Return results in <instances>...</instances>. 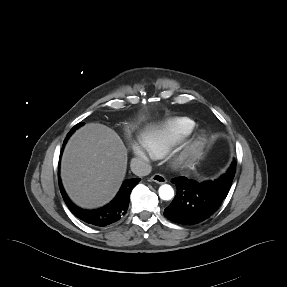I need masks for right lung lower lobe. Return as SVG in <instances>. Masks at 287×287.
I'll use <instances>...</instances> for the list:
<instances>
[{"label":"right lung lower lobe","mask_w":287,"mask_h":287,"mask_svg":"<svg viewBox=\"0 0 287 287\" xmlns=\"http://www.w3.org/2000/svg\"><path fill=\"white\" fill-rule=\"evenodd\" d=\"M73 132L70 131L66 136L62 146V150L64 148L67 139ZM139 181L140 178L125 180L116 197L106 206L95 210H85L76 206L68 198L61 183L60 177H59V188L67 207L78 219L89 225L104 227L118 221L119 219H121L123 215H125L129 206V198L131 191Z\"/></svg>","instance_id":"98d812e1"}]
</instances>
